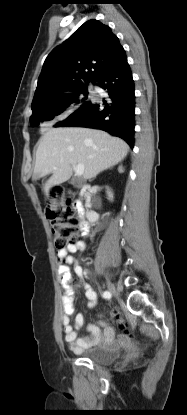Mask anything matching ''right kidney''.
<instances>
[{"mask_svg":"<svg viewBox=\"0 0 187 415\" xmlns=\"http://www.w3.org/2000/svg\"><path fill=\"white\" fill-rule=\"evenodd\" d=\"M107 194H108L109 200H112L113 199V194L109 190L107 191Z\"/></svg>","mask_w":187,"mask_h":415,"instance_id":"ca27d5eb","label":"right kidney"}]
</instances>
